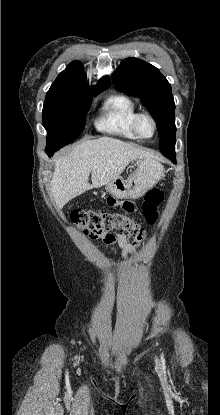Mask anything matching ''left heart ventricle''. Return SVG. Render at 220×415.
I'll return each mask as SVG.
<instances>
[{
	"mask_svg": "<svg viewBox=\"0 0 220 415\" xmlns=\"http://www.w3.org/2000/svg\"><path fill=\"white\" fill-rule=\"evenodd\" d=\"M139 131L144 137H151L153 134V124L148 118H142L139 122Z\"/></svg>",
	"mask_w": 220,
	"mask_h": 415,
	"instance_id": "1",
	"label": "left heart ventricle"
}]
</instances>
